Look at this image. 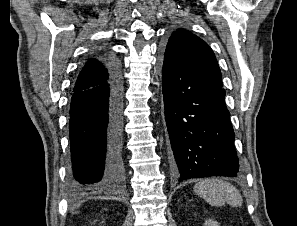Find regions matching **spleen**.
<instances>
[{"mask_svg": "<svg viewBox=\"0 0 297 226\" xmlns=\"http://www.w3.org/2000/svg\"><path fill=\"white\" fill-rule=\"evenodd\" d=\"M194 192L212 206H222L228 203L240 207L243 198L238 189L232 184L220 179H203L194 186Z\"/></svg>", "mask_w": 297, "mask_h": 226, "instance_id": "obj_1", "label": "spleen"}]
</instances>
